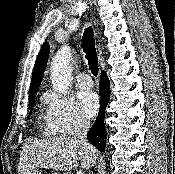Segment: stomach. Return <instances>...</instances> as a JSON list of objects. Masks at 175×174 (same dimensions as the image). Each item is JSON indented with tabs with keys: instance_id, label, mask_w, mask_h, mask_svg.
I'll list each match as a JSON object with an SVG mask.
<instances>
[{
	"instance_id": "stomach-1",
	"label": "stomach",
	"mask_w": 175,
	"mask_h": 174,
	"mask_svg": "<svg viewBox=\"0 0 175 174\" xmlns=\"http://www.w3.org/2000/svg\"><path fill=\"white\" fill-rule=\"evenodd\" d=\"M23 174H41V172H39L35 169H29V170L25 171Z\"/></svg>"
}]
</instances>
